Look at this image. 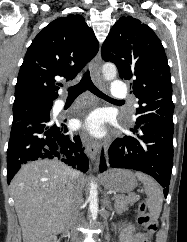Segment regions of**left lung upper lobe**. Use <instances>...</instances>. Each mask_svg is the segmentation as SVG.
<instances>
[{
	"mask_svg": "<svg viewBox=\"0 0 187 242\" xmlns=\"http://www.w3.org/2000/svg\"><path fill=\"white\" fill-rule=\"evenodd\" d=\"M101 54L105 61L117 66L121 79L132 80L130 86L139 104L134 127L150 122L173 126L170 69L154 31L131 16L121 17L106 38Z\"/></svg>",
	"mask_w": 187,
	"mask_h": 242,
	"instance_id": "1",
	"label": "left lung upper lobe"
}]
</instances>
